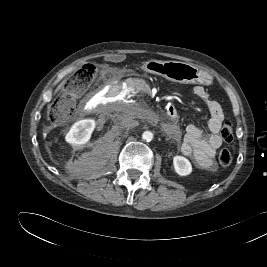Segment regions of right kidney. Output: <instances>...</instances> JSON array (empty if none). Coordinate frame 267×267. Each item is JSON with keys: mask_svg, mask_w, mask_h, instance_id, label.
Here are the masks:
<instances>
[{"mask_svg": "<svg viewBox=\"0 0 267 267\" xmlns=\"http://www.w3.org/2000/svg\"><path fill=\"white\" fill-rule=\"evenodd\" d=\"M95 126L96 123L93 119H84L77 121L72 125L69 132L66 134V142L76 146L86 144L90 140Z\"/></svg>", "mask_w": 267, "mask_h": 267, "instance_id": "1", "label": "right kidney"}]
</instances>
